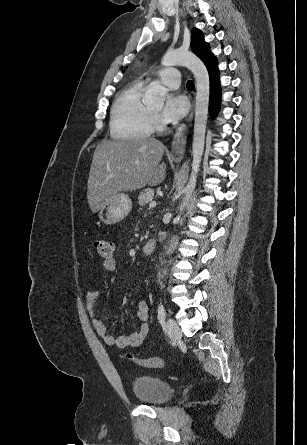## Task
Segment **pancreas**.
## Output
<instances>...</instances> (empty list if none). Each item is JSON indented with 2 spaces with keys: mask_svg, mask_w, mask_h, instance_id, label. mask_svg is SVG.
I'll use <instances>...</instances> for the list:
<instances>
[{
  "mask_svg": "<svg viewBox=\"0 0 307 445\" xmlns=\"http://www.w3.org/2000/svg\"><path fill=\"white\" fill-rule=\"evenodd\" d=\"M153 196H154V190H152V188H145L143 192H140V194H138L139 198L138 204H140V206H143V204L151 202Z\"/></svg>",
  "mask_w": 307,
  "mask_h": 445,
  "instance_id": "1",
  "label": "pancreas"
}]
</instances>
